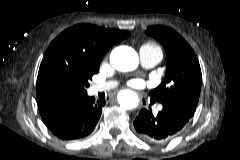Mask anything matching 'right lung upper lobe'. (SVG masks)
Here are the masks:
<instances>
[{
    "instance_id": "right-lung-upper-lobe-1",
    "label": "right lung upper lobe",
    "mask_w": 240,
    "mask_h": 160,
    "mask_svg": "<svg viewBox=\"0 0 240 160\" xmlns=\"http://www.w3.org/2000/svg\"><path fill=\"white\" fill-rule=\"evenodd\" d=\"M129 35L124 30L105 29L90 24H78L60 33L50 44L39 68L38 104L55 97L51 88L54 71L83 65H100L108 48Z\"/></svg>"
}]
</instances>
